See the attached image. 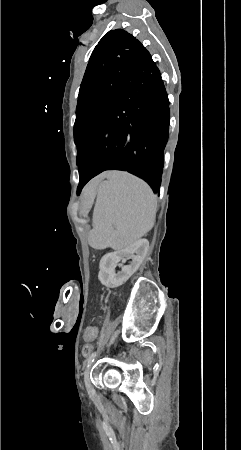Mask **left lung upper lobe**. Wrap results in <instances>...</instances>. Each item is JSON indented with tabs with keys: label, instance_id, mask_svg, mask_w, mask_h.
<instances>
[{
	"label": "left lung upper lobe",
	"instance_id": "1",
	"mask_svg": "<svg viewBox=\"0 0 241 450\" xmlns=\"http://www.w3.org/2000/svg\"><path fill=\"white\" fill-rule=\"evenodd\" d=\"M138 42L122 29L106 33L92 52L78 96L74 137L77 161L97 122L117 102L123 77Z\"/></svg>",
	"mask_w": 241,
	"mask_h": 450
}]
</instances>
